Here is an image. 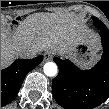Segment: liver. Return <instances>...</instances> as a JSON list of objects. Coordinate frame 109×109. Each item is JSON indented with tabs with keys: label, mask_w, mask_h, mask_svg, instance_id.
<instances>
[{
	"label": "liver",
	"mask_w": 109,
	"mask_h": 109,
	"mask_svg": "<svg viewBox=\"0 0 109 109\" xmlns=\"http://www.w3.org/2000/svg\"><path fill=\"white\" fill-rule=\"evenodd\" d=\"M80 43L100 46L99 36L87 30L80 17L72 13H35L14 30L2 26L1 67L9 66L18 57V48H32L37 52L52 49L63 55Z\"/></svg>",
	"instance_id": "obj_1"
}]
</instances>
